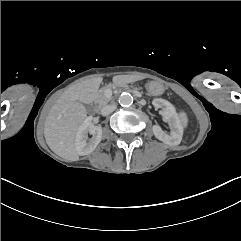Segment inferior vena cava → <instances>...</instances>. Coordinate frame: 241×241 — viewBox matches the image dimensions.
I'll list each match as a JSON object with an SVG mask.
<instances>
[{
  "instance_id": "602c4592",
  "label": "inferior vena cava",
  "mask_w": 241,
  "mask_h": 241,
  "mask_svg": "<svg viewBox=\"0 0 241 241\" xmlns=\"http://www.w3.org/2000/svg\"><path fill=\"white\" fill-rule=\"evenodd\" d=\"M115 109H116V105H114V104L105 105L101 108V115L107 116V115L111 114L113 111H115Z\"/></svg>"
}]
</instances>
